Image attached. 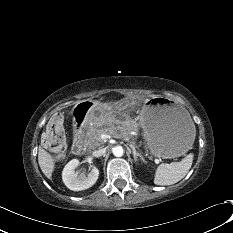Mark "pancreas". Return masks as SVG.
Wrapping results in <instances>:
<instances>
[{"mask_svg": "<svg viewBox=\"0 0 233 233\" xmlns=\"http://www.w3.org/2000/svg\"><path fill=\"white\" fill-rule=\"evenodd\" d=\"M111 119H104L98 123H94L92 126L88 127L86 137L87 144L90 148H95L104 143V140L101 138L102 134H109L114 137H127L128 134L135 130V126L127 128L122 133L118 132V128L113 126Z\"/></svg>", "mask_w": 233, "mask_h": 233, "instance_id": "cf45deb5", "label": "pancreas"}]
</instances>
